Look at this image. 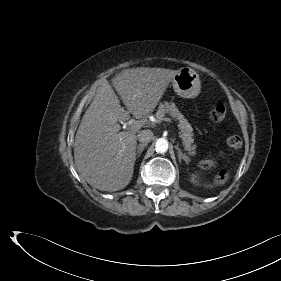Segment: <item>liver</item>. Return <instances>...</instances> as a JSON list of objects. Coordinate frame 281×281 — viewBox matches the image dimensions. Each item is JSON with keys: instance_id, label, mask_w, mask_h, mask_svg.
<instances>
[{"instance_id": "obj_1", "label": "liver", "mask_w": 281, "mask_h": 281, "mask_svg": "<svg viewBox=\"0 0 281 281\" xmlns=\"http://www.w3.org/2000/svg\"><path fill=\"white\" fill-rule=\"evenodd\" d=\"M178 71L138 67L116 75L113 85L105 82L82 117L74 142L77 171L101 191H118L131 181L134 171L137 136L134 131L120 132L118 122L148 116L157 106Z\"/></svg>"}]
</instances>
